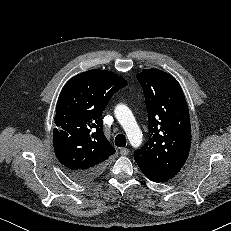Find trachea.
<instances>
[{
    "instance_id": "trachea-1",
    "label": "trachea",
    "mask_w": 231,
    "mask_h": 231,
    "mask_svg": "<svg viewBox=\"0 0 231 231\" xmlns=\"http://www.w3.org/2000/svg\"><path fill=\"white\" fill-rule=\"evenodd\" d=\"M126 143H127V139L125 137V135L123 134H118L116 137H115V145L117 147H125L126 146Z\"/></svg>"
}]
</instances>
